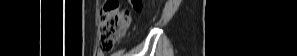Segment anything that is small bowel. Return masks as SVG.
<instances>
[{"instance_id": "1", "label": "small bowel", "mask_w": 297, "mask_h": 56, "mask_svg": "<svg viewBox=\"0 0 297 56\" xmlns=\"http://www.w3.org/2000/svg\"><path fill=\"white\" fill-rule=\"evenodd\" d=\"M98 56H103V54H98Z\"/></svg>"}]
</instances>
